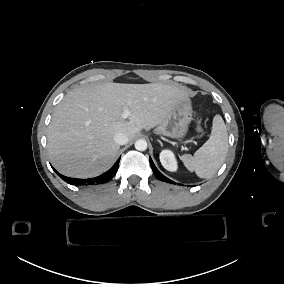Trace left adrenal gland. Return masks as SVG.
Masks as SVG:
<instances>
[{"label": "left adrenal gland", "mask_w": 284, "mask_h": 284, "mask_svg": "<svg viewBox=\"0 0 284 284\" xmlns=\"http://www.w3.org/2000/svg\"><path fill=\"white\" fill-rule=\"evenodd\" d=\"M157 141L160 143L161 146H163V143L160 140H157Z\"/></svg>", "instance_id": "left-adrenal-gland-1"}]
</instances>
